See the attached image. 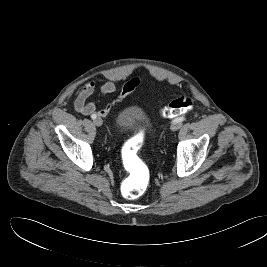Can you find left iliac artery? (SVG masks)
Masks as SVG:
<instances>
[{
	"mask_svg": "<svg viewBox=\"0 0 267 267\" xmlns=\"http://www.w3.org/2000/svg\"><path fill=\"white\" fill-rule=\"evenodd\" d=\"M186 118L185 117H178L176 119L173 120V122H183Z\"/></svg>",
	"mask_w": 267,
	"mask_h": 267,
	"instance_id": "44dca946",
	"label": "left iliac artery"
}]
</instances>
